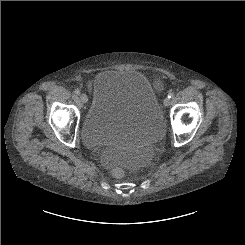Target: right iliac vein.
<instances>
[{
  "instance_id": "right-iliac-vein-1",
  "label": "right iliac vein",
  "mask_w": 245,
  "mask_h": 245,
  "mask_svg": "<svg viewBox=\"0 0 245 245\" xmlns=\"http://www.w3.org/2000/svg\"><path fill=\"white\" fill-rule=\"evenodd\" d=\"M80 100L82 103H87L88 102V97L86 94H81L80 95Z\"/></svg>"
}]
</instances>
